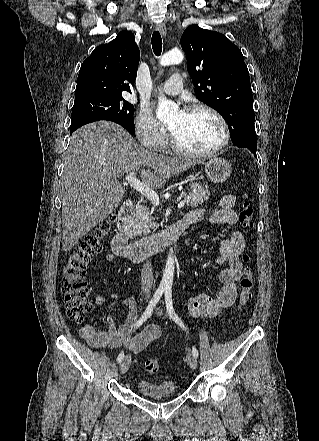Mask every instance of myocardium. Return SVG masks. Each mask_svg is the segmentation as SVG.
<instances>
[{"label": "myocardium", "instance_id": "myocardium-1", "mask_svg": "<svg viewBox=\"0 0 319 441\" xmlns=\"http://www.w3.org/2000/svg\"><path fill=\"white\" fill-rule=\"evenodd\" d=\"M198 110H204V111L210 113L219 122L221 129H222L221 142L217 146H215L214 148L206 150V151H193V150H190V149L183 147L178 142L175 135L169 129L171 147L173 148V150L176 153H178L180 155L189 156V157H197V158L210 157V156L217 154L218 152H220L221 150H223L227 146L229 139H230L229 127H228V124H227L225 118L220 114V112H218L215 108H213L207 104H204V103L190 104L184 109V112H194V111H198Z\"/></svg>", "mask_w": 319, "mask_h": 441}]
</instances>
